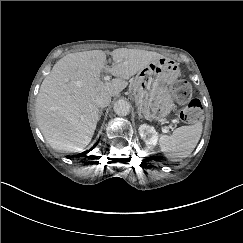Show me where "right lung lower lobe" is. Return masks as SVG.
<instances>
[{"instance_id": "1", "label": "right lung lower lobe", "mask_w": 243, "mask_h": 243, "mask_svg": "<svg viewBox=\"0 0 243 243\" xmlns=\"http://www.w3.org/2000/svg\"><path fill=\"white\" fill-rule=\"evenodd\" d=\"M96 145H97V143H96L90 150H88L87 152L81 153V154H79V155H77V156H67V158H73V157L78 158V157H83V156H85L89 151H91Z\"/></svg>"}]
</instances>
